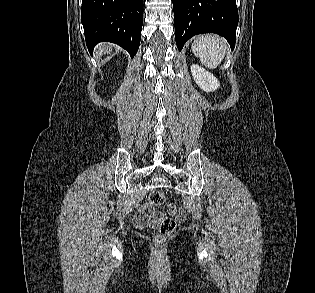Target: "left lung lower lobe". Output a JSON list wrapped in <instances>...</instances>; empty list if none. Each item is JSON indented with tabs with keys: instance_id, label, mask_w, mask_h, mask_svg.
I'll list each match as a JSON object with an SVG mask.
<instances>
[{
	"instance_id": "1",
	"label": "left lung lower lobe",
	"mask_w": 315,
	"mask_h": 293,
	"mask_svg": "<svg viewBox=\"0 0 315 293\" xmlns=\"http://www.w3.org/2000/svg\"><path fill=\"white\" fill-rule=\"evenodd\" d=\"M175 39L181 50L188 39L202 33H216L235 46L238 10L236 0H172Z\"/></svg>"
}]
</instances>
